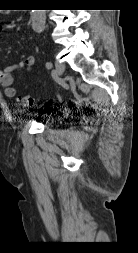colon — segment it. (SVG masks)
Returning <instances> with one entry per match:
<instances>
[{
  "label": "colon",
  "instance_id": "colon-1",
  "mask_svg": "<svg viewBox=\"0 0 138 253\" xmlns=\"http://www.w3.org/2000/svg\"><path fill=\"white\" fill-rule=\"evenodd\" d=\"M18 100L23 106L30 107L34 105V98L31 95H20Z\"/></svg>",
  "mask_w": 138,
  "mask_h": 253
}]
</instances>
